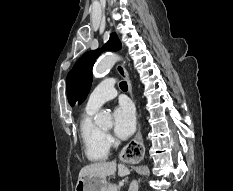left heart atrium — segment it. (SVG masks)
I'll return each mask as SVG.
<instances>
[{"mask_svg":"<svg viewBox=\"0 0 233 191\" xmlns=\"http://www.w3.org/2000/svg\"><path fill=\"white\" fill-rule=\"evenodd\" d=\"M114 132L117 137L128 138L135 130V112L129 103L123 102L117 106L113 113Z\"/></svg>","mask_w":233,"mask_h":191,"instance_id":"left-heart-atrium-1","label":"left heart atrium"}]
</instances>
